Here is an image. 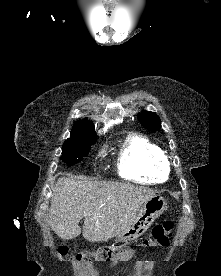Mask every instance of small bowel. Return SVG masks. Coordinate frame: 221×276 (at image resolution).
<instances>
[{"instance_id":"1","label":"small bowel","mask_w":221,"mask_h":276,"mask_svg":"<svg viewBox=\"0 0 221 276\" xmlns=\"http://www.w3.org/2000/svg\"><path fill=\"white\" fill-rule=\"evenodd\" d=\"M133 255V251H130L129 253H120L118 255V257L113 261L111 262V264L109 265V267H114L118 264V262L120 261H126V260H129Z\"/></svg>"}]
</instances>
